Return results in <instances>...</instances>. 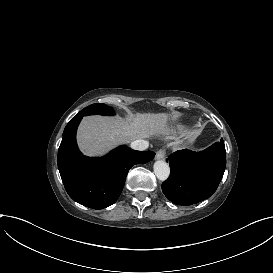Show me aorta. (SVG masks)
<instances>
[{
  "label": "aorta",
  "instance_id": "obj_1",
  "mask_svg": "<svg viewBox=\"0 0 273 273\" xmlns=\"http://www.w3.org/2000/svg\"><path fill=\"white\" fill-rule=\"evenodd\" d=\"M153 169H154V173H155L156 177L160 181H165L168 179V177L170 175V168L166 162H164L162 160L156 161L154 163Z\"/></svg>",
  "mask_w": 273,
  "mask_h": 273
}]
</instances>
